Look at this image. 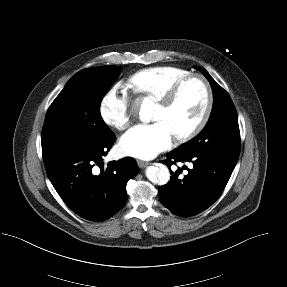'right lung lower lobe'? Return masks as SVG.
<instances>
[{
  "mask_svg": "<svg viewBox=\"0 0 287 287\" xmlns=\"http://www.w3.org/2000/svg\"><path fill=\"white\" fill-rule=\"evenodd\" d=\"M116 137L112 132L103 141L43 155L47 175L66 205L90 221H104L122 209L127 181L138 172L135 159L126 157L103 165Z\"/></svg>",
  "mask_w": 287,
  "mask_h": 287,
  "instance_id": "1",
  "label": "right lung lower lobe"
}]
</instances>
